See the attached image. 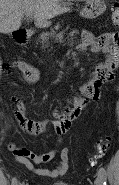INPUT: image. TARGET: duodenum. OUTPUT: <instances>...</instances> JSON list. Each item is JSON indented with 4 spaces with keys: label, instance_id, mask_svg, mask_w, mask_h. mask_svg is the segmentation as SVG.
<instances>
[{
    "label": "duodenum",
    "instance_id": "duodenum-1",
    "mask_svg": "<svg viewBox=\"0 0 119 185\" xmlns=\"http://www.w3.org/2000/svg\"><path fill=\"white\" fill-rule=\"evenodd\" d=\"M15 38L18 43H24L27 39V32L25 30H18L15 33Z\"/></svg>",
    "mask_w": 119,
    "mask_h": 185
}]
</instances>
